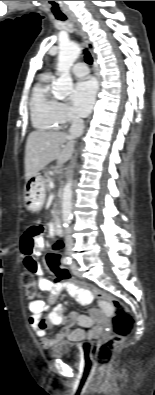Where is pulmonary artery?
I'll return each instance as SVG.
<instances>
[{
    "label": "pulmonary artery",
    "instance_id": "1",
    "mask_svg": "<svg viewBox=\"0 0 155 395\" xmlns=\"http://www.w3.org/2000/svg\"><path fill=\"white\" fill-rule=\"evenodd\" d=\"M71 71L76 77H80V78L85 77L89 73V69L87 65L82 62L76 63L72 67Z\"/></svg>",
    "mask_w": 155,
    "mask_h": 395
}]
</instances>
